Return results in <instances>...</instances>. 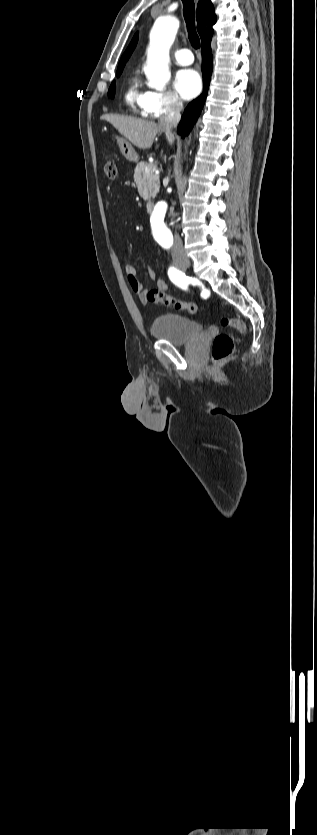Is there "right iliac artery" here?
I'll list each match as a JSON object with an SVG mask.
<instances>
[{"instance_id":"82829eb1","label":"right iliac artery","mask_w":317,"mask_h":835,"mask_svg":"<svg viewBox=\"0 0 317 835\" xmlns=\"http://www.w3.org/2000/svg\"><path fill=\"white\" fill-rule=\"evenodd\" d=\"M168 276L170 280L178 287L184 290L188 289V279L182 271L178 270L175 267H170L168 269Z\"/></svg>"}]
</instances>
